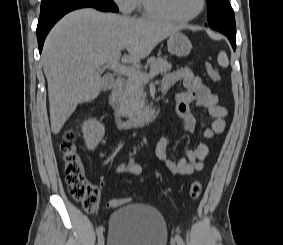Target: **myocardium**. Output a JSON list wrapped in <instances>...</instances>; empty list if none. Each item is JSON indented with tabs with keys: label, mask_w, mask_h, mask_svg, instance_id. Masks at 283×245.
<instances>
[{
	"label": "myocardium",
	"mask_w": 283,
	"mask_h": 245,
	"mask_svg": "<svg viewBox=\"0 0 283 245\" xmlns=\"http://www.w3.org/2000/svg\"><path fill=\"white\" fill-rule=\"evenodd\" d=\"M144 12L149 17L168 22H189L197 18L204 11L207 0H201L199 9L191 16L174 17L165 13L159 6L158 0H141Z\"/></svg>",
	"instance_id": "1"
}]
</instances>
